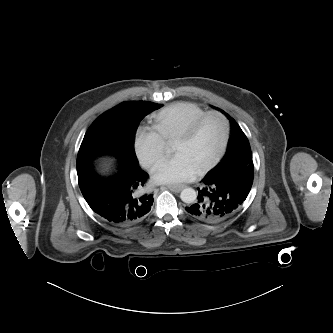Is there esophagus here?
Returning a JSON list of instances; mask_svg holds the SVG:
<instances>
[{
    "label": "esophagus",
    "instance_id": "1",
    "mask_svg": "<svg viewBox=\"0 0 333 333\" xmlns=\"http://www.w3.org/2000/svg\"><path fill=\"white\" fill-rule=\"evenodd\" d=\"M185 186L184 185H168L167 188L173 192H180Z\"/></svg>",
    "mask_w": 333,
    "mask_h": 333
}]
</instances>
